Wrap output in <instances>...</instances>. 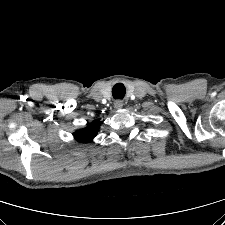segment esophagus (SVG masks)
I'll list each match as a JSON object with an SVG mask.
<instances>
[{
    "label": "esophagus",
    "instance_id": "1",
    "mask_svg": "<svg viewBox=\"0 0 225 225\" xmlns=\"http://www.w3.org/2000/svg\"><path fill=\"white\" fill-rule=\"evenodd\" d=\"M115 108L120 109L123 106V102L121 100H117L114 103Z\"/></svg>",
    "mask_w": 225,
    "mask_h": 225
}]
</instances>
